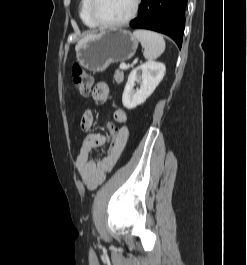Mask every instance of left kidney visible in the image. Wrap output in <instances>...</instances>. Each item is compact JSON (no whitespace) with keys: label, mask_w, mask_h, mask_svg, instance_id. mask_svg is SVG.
I'll return each mask as SVG.
<instances>
[{"label":"left kidney","mask_w":247,"mask_h":265,"mask_svg":"<svg viewBox=\"0 0 247 265\" xmlns=\"http://www.w3.org/2000/svg\"><path fill=\"white\" fill-rule=\"evenodd\" d=\"M165 71V65L156 61H147L136 67L130 73L123 92L124 107L134 109L144 103L163 79ZM136 82L140 83V88L134 91L133 87Z\"/></svg>","instance_id":"obj_1"}]
</instances>
